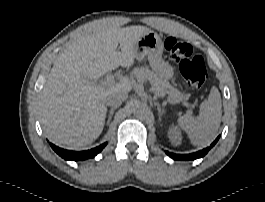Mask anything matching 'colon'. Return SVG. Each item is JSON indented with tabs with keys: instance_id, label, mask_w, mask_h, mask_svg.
Returning a JSON list of instances; mask_svg holds the SVG:
<instances>
[{
	"instance_id": "colon-1",
	"label": "colon",
	"mask_w": 265,
	"mask_h": 202,
	"mask_svg": "<svg viewBox=\"0 0 265 202\" xmlns=\"http://www.w3.org/2000/svg\"><path fill=\"white\" fill-rule=\"evenodd\" d=\"M165 48L169 57L178 62L179 70L186 82L192 88H199L207 79V71L203 58L193 54V48L189 44L175 37H169L165 41Z\"/></svg>"
}]
</instances>
